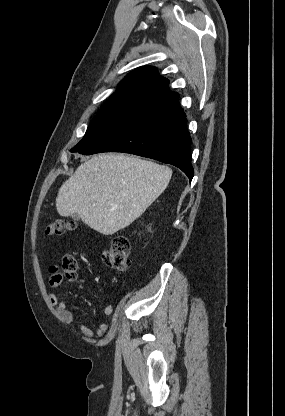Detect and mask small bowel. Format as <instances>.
I'll return each mask as SVG.
<instances>
[{"label":"small bowel","mask_w":285,"mask_h":416,"mask_svg":"<svg viewBox=\"0 0 285 416\" xmlns=\"http://www.w3.org/2000/svg\"><path fill=\"white\" fill-rule=\"evenodd\" d=\"M80 288L82 289L83 286L80 284ZM49 300L51 304L55 308L56 315L58 318L65 324H72L76 321L72 312L68 309L67 305L61 301L54 293L49 294ZM103 312L106 316H110L113 312V306L111 304H105L103 308ZM108 329V321L107 319H103L95 332L92 331L86 324H80V330L84 337L86 338H99L102 337Z\"/></svg>","instance_id":"c3829d8e"}]
</instances>
